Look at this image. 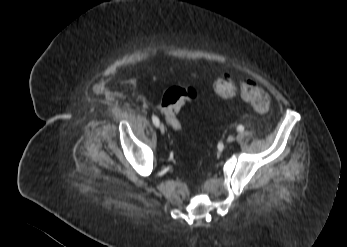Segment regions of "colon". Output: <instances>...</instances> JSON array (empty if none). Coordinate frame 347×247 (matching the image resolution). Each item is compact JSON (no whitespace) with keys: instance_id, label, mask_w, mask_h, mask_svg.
Masks as SVG:
<instances>
[{"instance_id":"colon-1","label":"colon","mask_w":347,"mask_h":247,"mask_svg":"<svg viewBox=\"0 0 347 247\" xmlns=\"http://www.w3.org/2000/svg\"><path fill=\"white\" fill-rule=\"evenodd\" d=\"M214 89L220 98L229 99L235 94L236 85L229 74H222L215 81ZM240 93L255 111L263 113L269 109L270 97L268 93L254 82H243L240 85ZM196 96V91L193 88L178 85L171 86L164 92L161 109L173 131L178 133L182 131L179 113L184 104L195 99Z\"/></svg>"}]
</instances>
